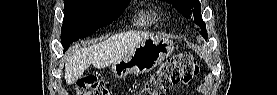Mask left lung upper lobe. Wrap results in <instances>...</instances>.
I'll return each mask as SVG.
<instances>
[{"label":"left lung upper lobe","mask_w":277,"mask_h":95,"mask_svg":"<svg viewBox=\"0 0 277 95\" xmlns=\"http://www.w3.org/2000/svg\"><path fill=\"white\" fill-rule=\"evenodd\" d=\"M176 10L186 18H194L196 24L201 28V34L207 39L206 24L202 20L201 6L199 0H167Z\"/></svg>","instance_id":"5c2ea615"}]
</instances>
